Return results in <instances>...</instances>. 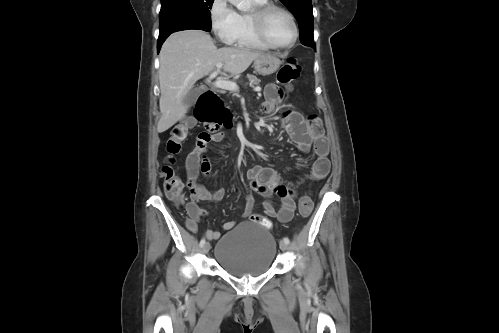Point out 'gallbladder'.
<instances>
[{"label":"gallbladder","mask_w":499,"mask_h":333,"mask_svg":"<svg viewBox=\"0 0 499 333\" xmlns=\"http://www.w3.org/2000/svg\"><path fill=\"white\" fill-rule=\"evenodd\" d=\"M204 91L203 87L192 88L186 97L184 98V103L188 105H192L195 103L199 95Z\"/></svg>","instance_id":"bac80fb5"}]
</instances>
